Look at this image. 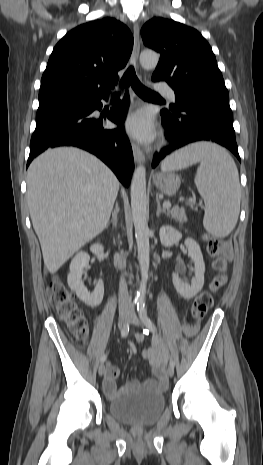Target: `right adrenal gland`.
<instances>
[{
  "label": "right adrenal gland",
  "mask_w": 263,
  "mask_h": 465,
  "mask_svg": "<svg viewBox=\"0 0 263 465\" xmlns=\"http://www.w3.org/2000/svg\"><path fill=\"white\" fill-rule=\"evenodd\" d=\"M118 213H119V207H118V204L116 203L115 204V209L112 213V219L111 221L108 222L107 226H109L110 224H112V226L114 228L117 227V222H118Z\"/></svg>",
  "instance_id": "obj_1"
}]
</instances>
